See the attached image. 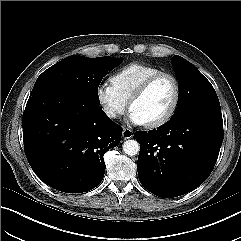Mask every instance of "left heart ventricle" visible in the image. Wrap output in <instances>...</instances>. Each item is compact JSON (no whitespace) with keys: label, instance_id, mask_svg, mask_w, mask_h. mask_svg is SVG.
Segmentation results:
<instances>
[{"label":"left heart ventricle","instance_id":"b2bd125f","mask_svg":"<svg viewBox=\"0 0 241 241\" xmlns=\"http://www.w3.org/2000/svg\"><path fill=\"white\" fill-rule=\"evenodd\" d=\"M174 94L172 80L167 77L160 78L133 104L131 112L135 113L144 124L155 121L169 110Z\"/></svg>","mask_w":241,"mask_h":241}]
</instances>
